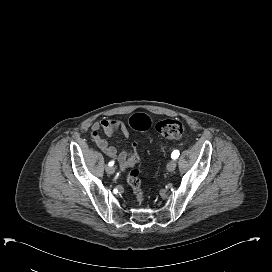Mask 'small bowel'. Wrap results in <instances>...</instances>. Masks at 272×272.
<instances>
[{"mask_svg":"<svg viewBox=\"0 0 272 272\" xmlns=\"http://www.w3.org/2000/svg\"><path fill=\"white\" fill-rule=\"evenodd\" d=\"M91 137L98 148L109 157L116 159L122 169L134 166L139 162V155L136 151L137 142L132 144L133 150L124 149L118 153L117 149L111 145L105 138L100 136V131L107 135H112L116 131H120L123 136H129L127 126L118 119H102L92 125Z\"/></svg>","mask_w":272,"mask_h":272,"instance_id":"c3829d8e","label":"small bowel"}]
</instances>
